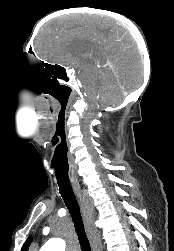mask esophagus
<instances>
[{
    "mask_svg": "<svg viewBox=\"0 0 174 251\" xmlns=\"http://www.w3.org/2000/svg\"><path fill=\"white\" fill-rule=\"evenodd\" d=\"M73 189L79 199V202L81 204V208H82V212H83V216L87 222V224L90 226H93V222H92V213H91V209L89 206V202L87 199V195L82 191L80 184L75 182L72 184ZM92 229V227H91Z\"/></svg>",
    "mask_w": 174,
    "mask_h": 251,
    "instance_id": "1",
    "label": "esophagus"
}]
</instances>
